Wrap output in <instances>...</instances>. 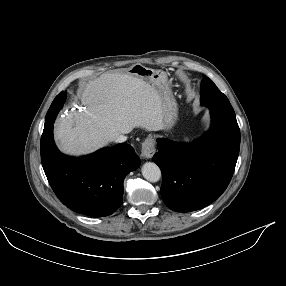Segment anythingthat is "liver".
<instances>
[{
	"label": "liver",
	"mask_w": 286,
	"mask_h": 286,
	"mask_svg": "<svg viewBox=\"0 0 286 286\" xmlns=\"http://www.w3.org/2000/svg\"><path fill=\"white\" fill-rule=\"evenodd\" d=\"M84 112H71L55 125L62 151L81 155L97 150L135 127L165 129V105L158 89L128 73H108L88 82L81 94Z\"/></svg>",
	"instance_id": "liver-1"
}]
</instances>
